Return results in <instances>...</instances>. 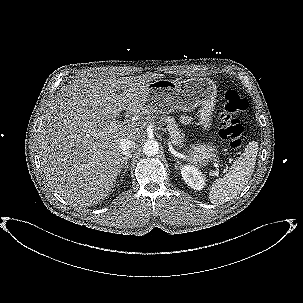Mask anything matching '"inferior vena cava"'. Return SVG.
<instances>
[{
	"label": "inferior vena cava",
	"mask_w": 303,
	"mask_h": 303,
	"mask_svg": "<svg viewBox=\"0 0 303 303\" xmlns=\"http://www.w3.org/2000/svg\"><path fill=\"white\" fill-rule=\"evenodd\" d=\"M135 148V141L129 138H122L120 140V149L123 155L128 156L131 155Z\"/></svg>",
	"instance_id": "obj_1"
}]
</instances>
